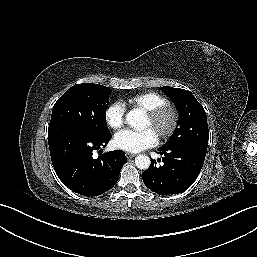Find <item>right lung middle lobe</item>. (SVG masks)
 <instances>
[{"label":"right lung middle lobe","instance_id":"1","mask_svg":"<svg viewBox=\"0 0 257 257\" xmlns=\"http://www.w3.org/2000/svg\"><path fill=\"white\" fill-rule=\"evenodd\" d=\"M111 90L93 83L76 84L53 106L49 130L77 127L96 136L110 134L106 124V108Z\"/></svg>","mask_w":257,"mask_h":257}]
</instances>
